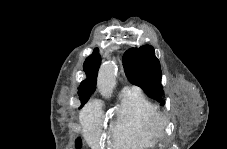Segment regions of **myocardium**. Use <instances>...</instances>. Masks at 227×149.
<instances>
[{
	"instance_id": "f54148a6",
	"label": "myocardium",
	"mask_w": 227,
	"mask_h": 149,
	"mask_svg": "<svg viewBox=\"0 0 227 149\" xmlns=\"http://www.w3.org/2000/svg\"><path fill=\"white\" fill-rule=\"evenodd\" d=\"M168 126V118L161 114V113H155L151 118V128L159 140H165L167 137L166 128Z\"/></svg>"
}]
</instances>
